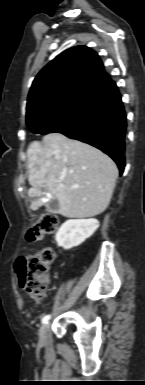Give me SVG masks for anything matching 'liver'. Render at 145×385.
<instances>
[{
    "label": "liver",
    "instance_id": "obj_1",
    "mask_svg": "<svg viewBox=\"0 0 145 385\" xmlns=\"http://www.w3.org/2000/svg\"><path fill=\"white\" fill-rule=\"evenodd\" d=\"M27 157L31 185L28 194L37 197L31 203L32 210L45 200H57L62 216L87 218L108 207L118 168L97 148L53 132L45 135L42 142H32Z\"/></svg>",
    "mask_w": 145,
    "mask_h": 385
}]
</instances>
